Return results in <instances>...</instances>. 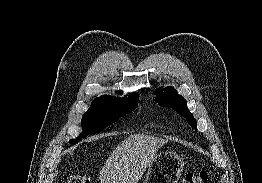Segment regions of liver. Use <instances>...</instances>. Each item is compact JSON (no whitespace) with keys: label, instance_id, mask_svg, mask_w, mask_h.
Here are the masks:
<instances>
[{"label":"liver","instance_id":"6515ba94","mask_svg":"<svg viewBox=\"0 0 262 183\" xmlns=\"http://www.w3.org/2000/svg\"><path fill=\"white\" fill-rule=\"evenodd\" d=\"M167 140L142 134L124 139L102 167L101 183H138Z\"/></svg>","mask_w":262,"mask_h":183}]
</instances>
